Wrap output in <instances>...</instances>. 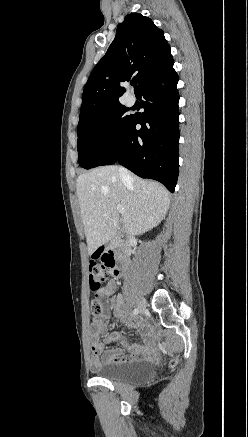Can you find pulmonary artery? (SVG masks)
I'll list each match as a JSON object with an SVG mask.
<instances>
[{
    "instance_id": "pulmonary-artery-1",
    "label": "pulmonary artery",
    "mask_w": 248,
    "mask_h": 437,
    "mask_svg": "<svg viewBox=\"0 0 248 437\" xmlns=\"http://www.w3.org/2000/svg\"><path fill=\"white\" fill-rule=\"evenodd\" d=\"M127 103H128L129 105H133V103H134V98H133L132 96L128 97V98H127Z\"/></svg>"
}]
</instances>
